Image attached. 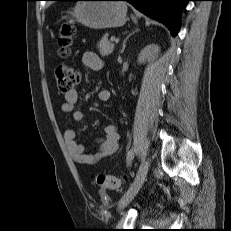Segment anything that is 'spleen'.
<instances>
[{"label": "spleen", "mask_w": 231, "mask_h": 231, "mask_svg": "<svg viewBox=\"0 0 231 231\" xmlns=\"http://www.w3.org/2000/svg\"><path fill=\"white\" fill-rule=\"evenodd\" d=\"M132 19L134 20L135 23L137 22L134 16H132Z\"/></svg>", "instance_id": "3e777b00"}]
</instances>
